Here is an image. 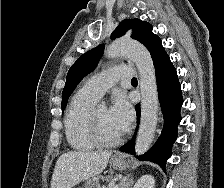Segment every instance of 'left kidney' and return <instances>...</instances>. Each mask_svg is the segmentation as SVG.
Returning <instances> with one entry per match:
<instances>
[{
	"instance_id": "left-kidney-1",
	"label": "left kidney",
	"mask_w": 224,
	"mask_h": 188,
	"mask_svg": "<svg viewBox=\"0 0 224 188\" xmlns=\"http://www.w3.org/2000/svg\"><path fill=\"white\" fill-rule=\"evenodd\" d=\"M155 180L151 175H143L138 179L133 188H154Z\"/></svg>"
}]
</instances>
